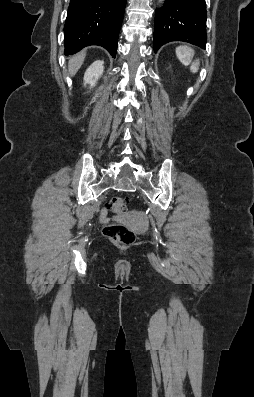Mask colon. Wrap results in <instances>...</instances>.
Masks as SVG:
<instances>
[{
    "mask_svg": "<svg viewBox=\"0 0 254 397\" xmlns=\"http://www.w3.org/2000/svg\"><path fill=\"white\" fill-rule=\"evenodd\" d=\"M110 208L115 213H124L127 210V201L122 197H113ZM104 235L118 245H131L135 241V233L122 224L107 225L103 230Z\"/></svg>",
    "mask_w": 254,
    "mask_h": 397,
    "instance_id": "5ec220e1",
    "label": "colon"
}]
</instances>
